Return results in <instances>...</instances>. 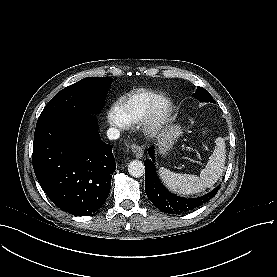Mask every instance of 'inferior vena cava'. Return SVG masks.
<instances>
[{
    "instance_id": "602c4592",
    "label": "inferior vena cava",
    "mask_w": 277,
    "mask_h": 277,
    "mask_svg": "<svg viewBox=\"0 0 277 277\" xmlns=\"http://www.w3.org/2000/svg\"><path fill=\"white\" fill-rule=\"evenodd\" d=\"M107 137L110 140H116L120 137V131L117 128L111 127L107 130Z\"/></svg>"
}]
</instances>
